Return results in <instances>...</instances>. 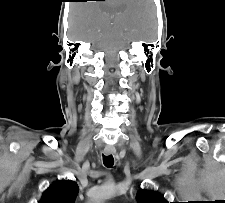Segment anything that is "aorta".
I'll return each mask as SVG.
<instances>
[{"mask_svg":"<svg viewBox=\"0 0 225 203\" xmlns=\"http://www.w3.org/2000/svg\"><path fill=\"white\" fill-rule=\"evenodd\" d=\"M114 193V187L111 184L104 185L93 195V203H101L103 199Z\"/></svg>","mask_w":225,"mask_h":203,"instance_id":"aorta-1","label":"aorta"}]
</instances>
